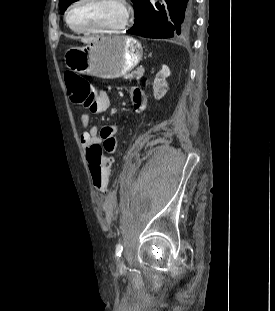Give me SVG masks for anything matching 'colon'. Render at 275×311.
<instances>
[{"mask_svg": "<svg viewBox=\"0 0 275 311\" xmlns=\"http://www.w3.org/2000/svg\"><path fill=\"white\" fill-rule=\"evenodd\" d=\"M65 83L72 103L86 106L95 99L93 86L84 78L68 72L65 74ZM87 158L94 188L99 192L105 191L112 159L103 154L102 147L98 144L89 148Z\"/></svg>", "mask_w": 275, "mask_h": 311, "instance_id": "obj_1", "label": "colon"}]
</instances>
